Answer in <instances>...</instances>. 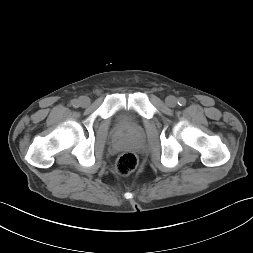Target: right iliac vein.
I'll use <instances>...</instances> for the list:
<instances>
[{"instance_id":"right-iliac-vein-1","label":"right iliac vein","mask_w":253,"mask_h":253,"mask_svg":"<svg viewBox=\"0 0 253 253\" xmlns=\"http://www.w3.org/2000/svg\"><path fill=\"white\" fill-rule=\"evenodd\" d=\"M90 104V99L86 96H82L80 99H79V105L81 107H87L88 105Z\"/></svg>"}]
</instances>
